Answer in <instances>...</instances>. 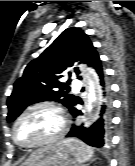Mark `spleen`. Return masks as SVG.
Instances as JSON below:
<instances>
[{
	"instance_id": "3e777b00",
	"label": "spleen",
	"mask_w": 135,
	"mask_h": 166,
	"mask_svg": "<svg viewBox=\"0 0 135 166\" xmlns=\"http://www.w3.org/2000/svg\"><path fill=\"white\" fill-rule=\"evenodd\" d=\"M75 151L76 161L84 163L93 156V149L77 139H66L63 141Z\"/></svg>"
}]
</instances>
